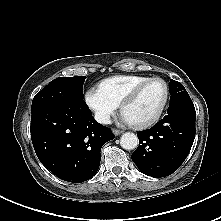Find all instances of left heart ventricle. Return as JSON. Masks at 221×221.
I'll use <instances>...</instances> for the list:
<instances>
[{
  "label": "left heart ventricle",
  "mask_w": 221,
  "mask_h": 221,
  "mask_svg": "<svg viewBox=\"0 0 221 221\" xmlns=\"http://www.w3.org/2000/svg\"><path fill=\"white\" fill-rule=\"evenodd\" d=\"M165 97V88L160 82L146 86L138 98L127 107V113L134 122L144 121L156 114Z\"/></svg>",
  "instance_id": "1"
}]
</instances>
